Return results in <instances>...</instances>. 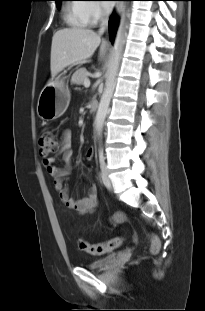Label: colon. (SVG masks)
I'll return each instance as SVG.
<instances>
[{
  "instance_id": "obj_1",
  "label": "colon",
  "mask_w": 205,
  "mask_h": 311,
  "mask_svg": "<svg viewBox=\"0 0 205 311\" xmlns=\"http://www.w3.org/2000/svg\"><path fill=\"white\" fill-rule=\"evenodd\" d=\"M40 154L44 158H48L50 154L56 152L59 148V141L54 131L51 129L45 130L39 139ZM150 251L156 254L160 250L161 242L156 235L150 237ZM122 244L121 237L112 238L106 242L91 244L83 239L78 240V248L81 251L91 255H103L120 247Z\"/></svg>"
}]
</instances>
